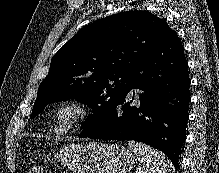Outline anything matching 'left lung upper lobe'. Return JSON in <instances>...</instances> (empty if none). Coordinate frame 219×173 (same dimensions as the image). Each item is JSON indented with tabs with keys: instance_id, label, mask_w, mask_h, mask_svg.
<instances>
[{
	"instance_id": "left-lung-upper-lobe-1",
	"label": "left lung upper lobe",
	"mask_w": 219,
	"mask_h": 173,
	"mask_svg": "<svg viewBox=\"0 0 219 173\" xmlns=\"http://www.w3.org/2000/svg\"><path fill=\"white\" fill-rule=\"evenodd\" d=\"M173 30L147 11L115 14L83 27L53 56L31 119L52 102L76 99L94 110L81 134L93 133L130 91L139 60Z\"/></svg>"
}]
</instances>
